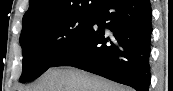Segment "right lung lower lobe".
<instances>
[{"mask_svg":"<svg viewBox=\"0 0 173 91\" xmlns=\"http://www.w3.org/2000/svg\"><path fill=\"white\" fill-rule=\"evenodd\" d=\"M151 17L149 0H99L85 34L51 67L73 66L148 91Z\"/></svg>","mask_w":173,"mask_h":91,"instance_id":"1","label":"right lung lower lobe"}]
</instances>
